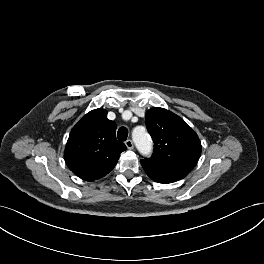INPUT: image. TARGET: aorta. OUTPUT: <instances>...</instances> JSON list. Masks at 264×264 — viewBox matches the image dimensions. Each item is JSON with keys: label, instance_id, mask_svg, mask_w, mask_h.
Returning <instances> with one entry per match:
<instances>
[{"label": "aorta", "instance_id": "762f6f07", "mask_svg": "<svg viewBox=\"0 0 264 264\" xmlns=\"http://www.w3.org/2000/svg\"><path fill=\"white\" fill-rule=\"evenodd\" d=\"M132 138L141 155L149 156L151 154L152 142L146 131L135 129L132 133Z\"/></svg>", "mask_w": 264, "mask_h": 264}]
</instances>
